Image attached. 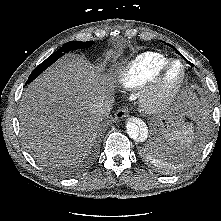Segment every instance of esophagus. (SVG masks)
<instances>
[{"label": "esophagus", "mask_w": 221, "mask_h": 221, "mask_svg": "<svg viewBox=\"0 0 221 221\" xmlns=\"http://www.w3.org/2000/svg\"><path fill=\"white\" fill-rule=\"evenodd\" d=\"M127 116H128V109L125 107L119 108L115 113V119L117 120H121L123 118H126Z\"/></svg>", "instance_id": "obj_1"}]
</instances>
